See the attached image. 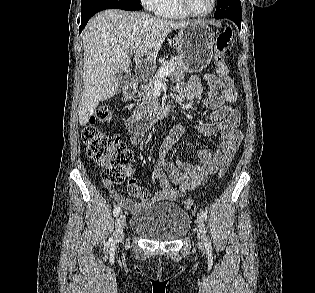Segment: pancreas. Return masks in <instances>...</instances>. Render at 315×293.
I'll return each mask as SVG.
<instances>
[{
	"mask_svg": "<svg viewBox=\"0 0 315 293\" xmlns=\"http://www.w3.org/2000/svg\"><path fill=\"white\" fill-rule=\"evenodd\" d=\"M173 63V70L171 71V80L174 82L180 81L185 77V63L182 56H177L164 62L161 67H165ZM154 92V78L149 81L147 85H142L138 96L142 97V105L137 108L136 112L140 114H146L151 107L156 106V99L153 98Z\"/></svg>",
	"mask_w": 315,
	"mask_h": 293,
	"instance_id": "pancreas-1",
	"label": "pancreas"
}]
</instances>
